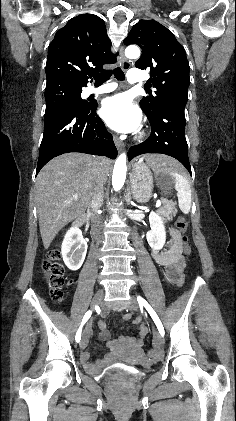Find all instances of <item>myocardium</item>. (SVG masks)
<instances>
[{
	"label": "myocardium",
	"instance_id": "1",
	"mask_svg": "<svg viewBox=\"0 0 236 421\" xmlns=\"http://www.w3.org/2000/svg\"><path fill=\"white\" fill-rule=\"evenodd\" d=\"M144 135V133L142 132L141 134H140V136L142 137Z\"/></svg>",
	"mask_w": 236,
	"mask_h": 421
}]
</instances>
